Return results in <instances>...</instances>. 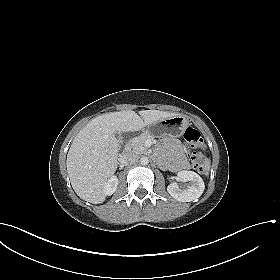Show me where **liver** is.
Segmentation results:
<instances>
[{
  "instance_id": "obj_1",
  "label": "liver",
  "mask_w": 280,
  "mask_h": 280,
  "mask_svg": "<svg viewBox=\"0 0 280 280\" xmlns=\"http://www.w3.org/2000/svg\"><path fill=\"white\" fill-rule=\"evenodd\" d=\"M175 113L159 110L111 112L92 119L74 138L67 154V172L76 194L93 204L105 201L103 191L118 166L117 132H134Z\"/></svg>"
}]
</instances>
